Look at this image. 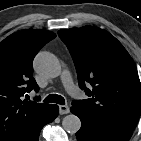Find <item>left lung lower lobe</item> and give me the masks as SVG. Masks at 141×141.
I'll return each instance as SVG.
<instances>
[{"instance_id": "0a47b994", "label": "left lung lower lobe", "mask_w": 141, "mask_h": 141, "mask_svg": "<svg viewBox=\"0 0 141 141\" xmlns=\"http://www.w3.org/2000/svg\"><path fill=\"white\" fill-rule=\"evenodd\" d=\"M70 111L77 115L82 123L76 133L78 141H128L132 136L133 131L104 123L86 109L72 106Z\"/></svg>"}]
</instances>
